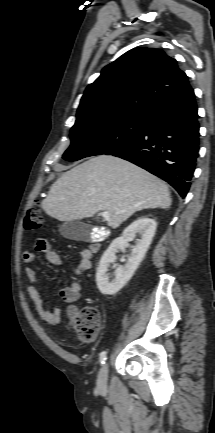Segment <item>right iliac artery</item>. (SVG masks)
<instances>
[{
    "instance_id": "obj_1",
    "label": "right iliac artery",
    "mask_w": 215,
    "mask_h": 433,
    "mask_svg": "<svg viewBox=\"0 0 215 433\" xmlns=\"http://www.w3.org/2000/svg\"><path fill=\"white\" fill-rule=\"evenodd\" d=\"M106 359H107V353H106V351L101 352V354H100V363L101 364H105Z\"/></svg>"
}]
</instances>
